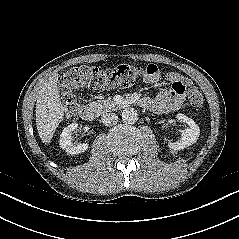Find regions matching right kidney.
Returning a JSON list of instances; mask_svg holds the SVG:
<instances>
[{"label": "right kidney", "mask_w": 239, "mask_h": 239, "mask_svg": "<svg viewBox=\"0 0 239 239\" xmlns=\"http://www.w3.org/2000/svg\"><path fill=\"white\" fill-rule=\"evenodd\" d=\"M78 128L77 123H72L64 128L63 132L60 135L59 145L60 147L65 150L68 154L74 155L83 153L88 149L87 143L82 144H73L72 133L75 129Z\"/></svg>", "instance_id": "obj_1"}]
</instances>
